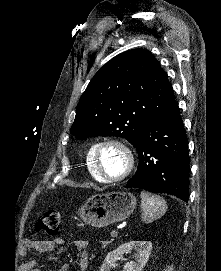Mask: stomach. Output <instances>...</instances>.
<instances>
[{
	"mask_svg": "<svg viewBox=\"0 0 221 271\" xmlns=\"http://www.w3.org/2000/svg\"><path fill=\"white\" fill-rule=\"evenodd\" d=\"M137 199L129 191H111L102 195H92L78 208L83 221L93 227H107L115 221H123L133 213Z\"/></svg>",
	"mask_w": 221,
	"mask_h": 271,
	"instance_id": "0dacf381",
	"label": "stomach"
}]
</instances>
